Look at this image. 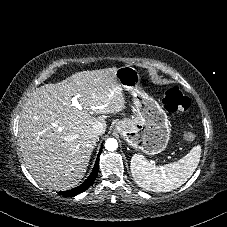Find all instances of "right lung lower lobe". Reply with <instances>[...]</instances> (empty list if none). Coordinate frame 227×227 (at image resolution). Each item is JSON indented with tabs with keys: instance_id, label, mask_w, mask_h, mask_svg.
I'll list each match as a JSON object with an SVG mask.
<instances>
[{
	"instance_id": "right-lung-lower-lobe-1",
	"label": "right lung lower lobe",
	"mask_w": 227,
	"mask_h": 227,
	"mask_svg": "<svg viewBox=\"0 0 227 227\" xmlns=\"http://www.w3.org/2000/svg\"><path fill=\"white\" fill-rule=\"evenodd\" d=\"M101 152H102V148L100 149V152L97 156L94 168H93L90 176L83 184H81L80 186H78L74 189L68 190V191L58 192V194L66 195V196H68V195L74 196V195L80 194L83 191H85L86 189H88L94 183V181L97 177L98 169H99V156H100Z\"/></svg>"
}]
</instances>
